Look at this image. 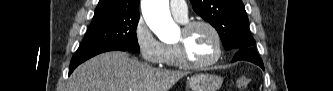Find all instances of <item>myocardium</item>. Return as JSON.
Here are the masks:
<instances>
[{
	"label": "myocardium",
	"instance_id": "f54148a6",
	"mask_svg": "<svg viewBox=\"0 0 333 91\" xmlns=\"http://www.w3.org/2000/svg\"><path fill=\"white\" fill-rule=\"evenodd\" d=\"M196 27H205L207 28L212 35L214 36L216 42V53L213 58L204 61V62H193L188 58L185 43L183 41L175 43V54H176V61L178 65L189 68V69H205L214 64H216L223 55V41L220 32L218 29L210 22L205 20H192L184 23L182 31L184 34L190 33Z\"/></svg>",
	"mask_w": 333,
	"mask_h": 91
}]
</instances>
